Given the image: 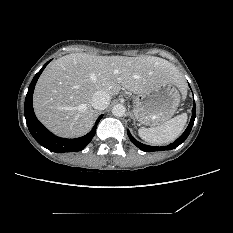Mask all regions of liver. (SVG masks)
<instances>
[{
	"label": "liver",
	"instance_id": "obj_1",
	"mask_svg": "<svg viewBox=\"0 0 233 233\" xmlns=\"http://www.w3.org/2000/svg\"><path fill=\"white\" fill-rule=\"evenodd\" d=\"M168 83L184 89L179 70L159 57L73 53L43 71L34 90L33 107L37 118L56 135L80 137L93 126L91 100L97 91L114 96L123 87L139 95Z\"/></svg>",
	"mask_w": 233,
	"mask_h": 233
}]
</instances>
